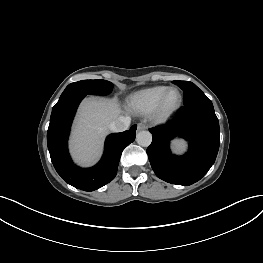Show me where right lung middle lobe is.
I'll list each match as a JSON object with an SVG mask.
<instances>
[{
	"label": "right lung middle lobe",
	"mask_w": 263,
	"mask_h": 263,
	"mask_svg": "<svg viewBox=\"0 0 263 263\" xmlns=\"http://www.w3.org/2000/svg\"><path fill=\"white\" fill-rule=\"evenodd\" d=\"M113 87V84L106 80H82L69 84L59 100L74 94L107 95Z\"/></svg>",
	"instance_id": "1"
}]
</instances>
